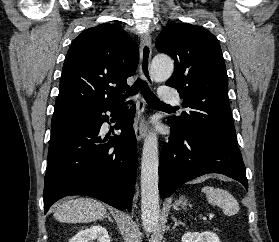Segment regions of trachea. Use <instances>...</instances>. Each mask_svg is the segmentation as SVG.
<instances>
[{
  "instance_id": "3493384b",
  "label": "trachea",
  "mask_w": 279,
  "mask_h": 242,
  "mask_svg": "<svg viewBox=\"0 0 279 242\" xmlns=\"http://www.w3.org/2000/svg\"><path fill=\"white\" fill-rule=\"evenodd\" d=\"M139 91H141L142 95L144 96L146 102L149 105L158 106V107H167L173 108L168 104L161 102L156 95L150 90L146 81L142 79H137L132 87L127 91L126 95H135Z\"/></svg>"
}]
</instances>
